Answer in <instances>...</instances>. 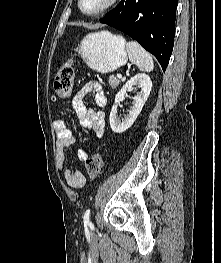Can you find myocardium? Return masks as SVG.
<instances>
[{
	"label": "myocardium",
	"mask_w": 221,
	"mask_h": 263,
	"mask_svg": "<svg viewBox=\"0 0 221 263\" xmlns=\"http://www.w3.org/2000/svg\"><path fill=\"white\" fill-rule=\"evenodd\" d=\"M119 1L120 0H107L101 8H99L96 11H92V12L86 11L83 8V4H82L83 0H78V7H79L80 11L87 16H99V15L106 13L107 11L112 9L113 7H115L119 3Z\"/></svg>",
	"instance_id": "myocardium-1"
}]
</instances>
